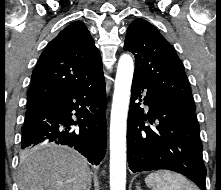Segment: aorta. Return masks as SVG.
Here are the masks:
<instances>
[{
    "label": "aorta",
    "instance_id": "obj_1",
    "mask_svg": "<svg viewBox=\"0 0 221 190\" xmlns=\"http://www.w3.org/2000/svg\"><path fill=\"white\" fill-rule=\"evenodd\" d=\"M133 72L132 58L123 54L117 67L110 119V190L126 189V130Z\"/></svg>",
    "mask_w": 221,
    "mask_h": 190
}]
</instances>
